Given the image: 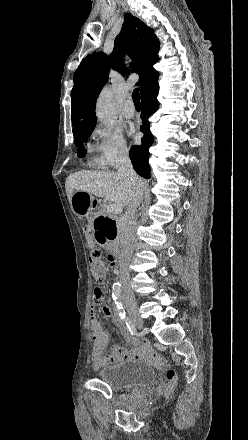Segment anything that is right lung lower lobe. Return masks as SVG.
Segmentation results:
<instances>
[{
	"mask_svg": "<svg viewBox=\"0 0 248 440\" xmlns=\"http://www.w3.org/2000/svg\"><path fill=\"white\" fill-rule=\"evenodd\" d=\"M159 87H155L141 97V119L144 124L141 125L140 131L144 134L142 144L135 145L130 149V158L135 171L144 178H150L149 147L153 142V135L150 131V123L148 118L153 114L159 106L157 101Z\"/></svg>",
	"mask_w": 248,
	"mask_h": 440,
	"instance_id": "1",
	"label": "right lung lower lobe"
}]
</instances>
